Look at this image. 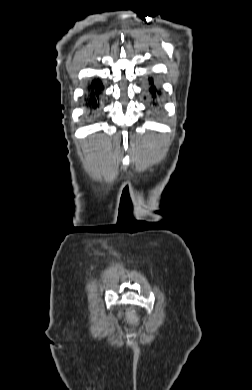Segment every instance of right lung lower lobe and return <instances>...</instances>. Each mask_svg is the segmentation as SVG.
I'll return each mask as SVG.
<instances>
[{
    "label": "right lung lower lobe",
    "mask_w": 252,
    "mask_h": 390,
    "mask_svg": "<svg viewBox=\"0 0 252 390\" xmlns=\"http://www.w3.org/2000/svg\"><path fill=\"white\" fill-rule=\"evenodd\" d=\"M103 85L102 82L96 78L87 87V94L85 98V105L89 109V112H96L101 106V94Z\"/></svg>",
    "instance_id": "98d812e1"
}]
</instances>
